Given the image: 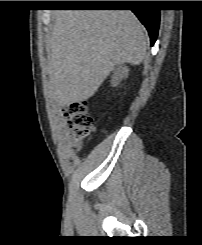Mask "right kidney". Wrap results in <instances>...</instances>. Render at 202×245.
<instances>
[{
	"label": "right kidney",
	"instance_id": "obj_1",
	"mask_svg": "<svg viewBox=\"0 0 202 245\" xmlns=\"http://www.w3.org/2000/svg\"><path fill=\"white\" fill-rule=\"evenodd\" d=\"M129 69L126 66H119L112 76L111 84L112 86H117L123 78L128 77Z\"/></svg>",
	"mask_w": 202,
	"mask_h": 245
}]
</instances>
